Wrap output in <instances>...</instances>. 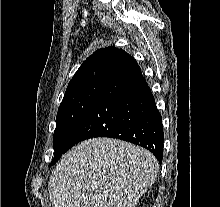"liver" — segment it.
Listing matches in <instances>:
<instances>
[{
  "instance_id": "obj_1",
  "label": "liver",
  "mask_w": 220,
  "mask_h": 207,
  "mask_svg": "<svg viewBox=\"0 0 220 207\" xmlns=\"http://www.w3.org/2000/svg\"><path fill=\"white\" fill-rule=\"evenodd\" d=\"M159 163L148 150L112 139H88L68 151L48 182L54 207H136L155 182Z\"/></svg>"
}]
</instances>
